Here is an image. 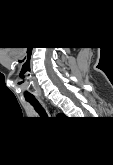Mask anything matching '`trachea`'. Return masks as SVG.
Listing matches in <instances>:
<instances>
[{
	"label": "trachea",
	"instance_id": "obj_1",
	"mask_svg": "<svg viewBox=\"0 0 113 165\" xmlns=\"http://www.w3.org/2000/svg\"><path fill=\"white\" fill-rule=\"evenodd\" d=\"M27 101L34 106L35 110L37 112H39L41 115H45V111L43 110V108L40 106V104L38 103L37 100L35 99H27Z\"/></svg>",
	"mask_w": 113,
	"mask_h": 165
}]
</instances>
